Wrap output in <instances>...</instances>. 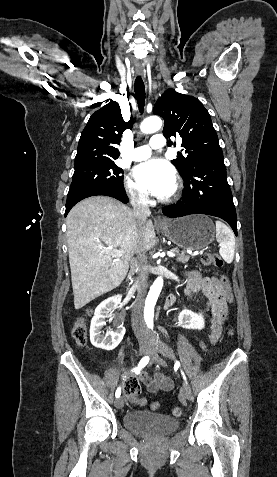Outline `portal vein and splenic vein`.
Wrapping results in <instances>:
<instances>
[{
    "instance_id": "18ae733b",
    "label": "portal vein and splenic vein",
    "mask_w": 277,
    "mask_h": 477,
    "mask_svg": "<svg viewBox=\"0 0 277 477\" xmlns=\"http://www.w3.org/2000/svg\"><path fill=\"white\" fill-rule=\"evenodd\" d=\"M111 254H112V256L115 257V258H120V257H122V256L125 254V252H124V250H122V249H120V250L114 249V250H112V253H111ZM167 255H168L169 257H175V256H176V253H175L174 251H169V252H167Z\"/></svg>"
}]
</instances>
